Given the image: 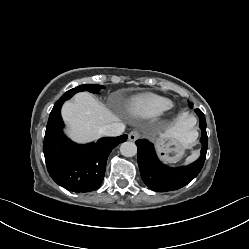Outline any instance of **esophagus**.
Segmentation results:
<instances>
[{"mask_svg": "<svg viewBox=\"0 0 249 249\" xmlns=\"http://www.w3.org/2000/svg\"><path fill=\"white\" fill-rule=\"evenodd\" d=\"M140 137V133L137 130H133L129 133L128 139L130 141H136Z\"/></svg>", "mask_w": 249, "mask_h": 249, "instance_id": "esophagus-1", "label": "esophagus"}]
</instances>
